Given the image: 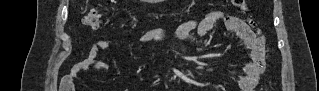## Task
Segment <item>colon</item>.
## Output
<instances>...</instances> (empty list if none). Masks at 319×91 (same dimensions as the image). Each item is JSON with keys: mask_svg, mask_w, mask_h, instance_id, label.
I'll list each match as a JSON object with an SVG mask.
<instances>
[{"mask_svg": "<svg viewBox=\"0 0 319 91\" xmlns=\"http://www.w3.org/2000/svg\"><path fill=\"white\" fill-rule=\"evenodd\" d=\"M231 3L242 11L247 10L245 0H232ZM84 25L91 29H98L103 24V12L100 6H91L82 19Z\"/></svg>", "mask_w": 319, "mask_h": 91, "instance_id": "1", "label": "colon"}]
</instances>
